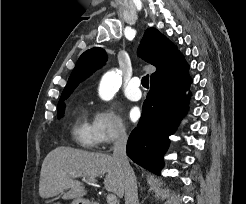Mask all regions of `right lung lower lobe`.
Listing matches in <instances>:
<instances>
[{
    "label": "right lung lower lobe",
    "instance_id": "right-lung-lower-lobe-1",
    "mask_svg": "<svg viewBox=\"0 0 246 204\" xmlns=\"http://www.w3.org/2000/svg\"><path fill=\"white\" fill-rule=\"evenodd\" d=\"M191 78L188 65L151 80L150 91L144 101L140 122L127 143V155L145 169L160 174L163 154L172 135L184 116Z\"/></svg>",
    "mask_w": 246,
    "mask_h": 204
}]
</instances>
